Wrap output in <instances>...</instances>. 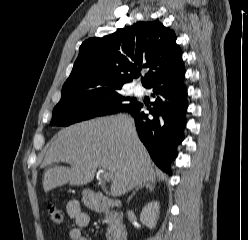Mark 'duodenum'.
<instances>
[{
  "mask_svg": "<svg viewBox=\"0 0 248 240\" xmlns=\"http://www.w3.org/2000/svg\"><path fill=\"white\" fill-rule=\"evenodd\" d=\"M90 199V206L98 212H104L107 209L118 205L117 202L106 199L104 194L99 192L90 193ZM114 240H128L127 231L124 228L119 229Z\"/></svg>",
  "mask_w": 248,
  "mask_h": 240,
  "instance_id": "duodenum-1",
  "label": "duodenum"
}]
</instances>
